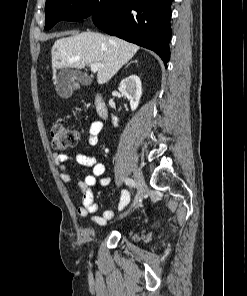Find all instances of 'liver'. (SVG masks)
Wrapping results in <instances>:
<instances>
[{
  "label": "liver",
  "instance_id": "6515ba94",
  "mask_svg": "<svg viewBox=\"0 0 247 296\" xmlns=\"http://www.w3.org/2000/svg\"><path fill=\"white\" fill-rule=\"evenodd\" d=\"M138 50L139 46L123 39L90 31L60 38L51 49L53 81L56 83L57 69L63 67L83 69L87 64L98 63L101 67L97 71V82L104 84Z\"/></svg>",
  "mask_w": 247,
  "mask_h": 296
}]
</instances>
